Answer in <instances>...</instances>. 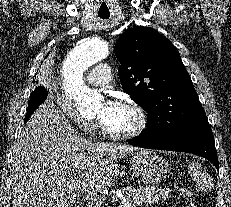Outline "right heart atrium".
Here are the masks:
<instances>
[{"instance_id":"1","label":"right heart atrium","mask_w":231,"mask_h":207,"mask_svg":"<svg viewBox=\"0 0 231 207\" xmlns=\"http://www.w3.org/2000/svg\"><path fill=\"white\" fill-rule=\"evenodd\" d=\"M55 104L57 109L66 115L83 132L92 133L96 130L97 125L94 120L82 114L69 98L59 96Z\"/></svg>"}]
</instances>
